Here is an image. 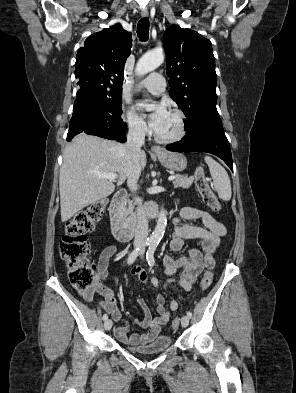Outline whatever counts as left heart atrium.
<instances>
[{
    "label": "left heart atrium",
    "mask_w": 296,
    "mask_h": 393,
    "mask_svg": "<svg viewBox=\"0 0 296 393\" xmlns=\"http://www.w3.org/2000/svg\"><path fill=\"white\" fill-rule=\"evenodd\" d=\"M138 108L141 111L150 112V126L156 132L168 116L169 112L166 106L162 103L156 104L148 101H144L138 104Z\"/></svg>",
    "instance_id": "obj_1"
}]
</instances>
